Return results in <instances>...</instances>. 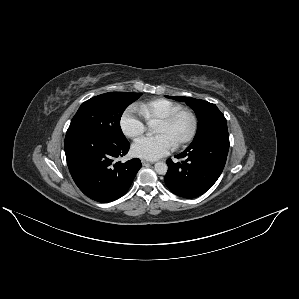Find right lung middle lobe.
<instances>
[{"instance_id":"dd1d6c3e","label":"right lung middle lobe","mask_w":299,"mask_h":299,"mask_svg":"<svg viewBox=\"0 0 299 299\" xmlns=\"http://www.w3.org/2000/svg\"><path fill=\"white\" fill-rule=\"evenodd\" d=\"M140 96L141 93L109 92L85 101L71 120L67 133L95 131L117 142L126 141L120 119L124 110Z\"/></svg>"}]
</instances>
